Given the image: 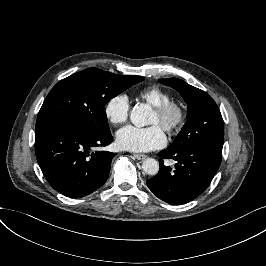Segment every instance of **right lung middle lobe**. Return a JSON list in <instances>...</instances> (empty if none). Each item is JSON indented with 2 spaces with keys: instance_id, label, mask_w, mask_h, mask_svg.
Wrapping results in <instances>:
<instances>
[{
  "instance_id": "right-lung-middle-lobe-1",
  "label": "right lung middle lobe",
  "mask_w": 266,
  "mask_h": 266,
  "mask_svg": "<svg viewBox=\"0 0 266 266\" xmlns=\"http://www.w3.org/2000/svg\"><path fill=\"white\" fill-rule=\"evenodd\" d=\"M141 76H123L88 68L59 81L49 92L37 117L35 131L56 122H67L89 132H110L105 105Z\"/></svg>"
}]
</instances>
